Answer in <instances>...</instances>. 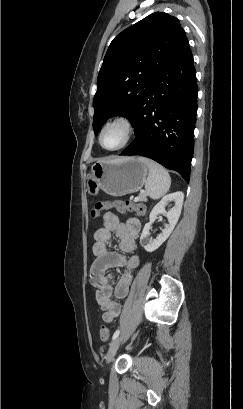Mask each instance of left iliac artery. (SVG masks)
Wrapping results in <instances>:
<instances>
[{
	"mask_svg": "<svg viewBox=\"0 0 243 409\" xmlns=\"http://www.w3.org/2000/svg\"><path fill=\"white\" fill-rule=\"evenodd\" d=\"M119 334H120V330H116L112 336V340H115Z\"/></svg>",
	"mask_w": 243,
	"mask_h": 409,
	"instance_id": "44dca946",
	"label": "left iliac artery"
}]
</instances>
